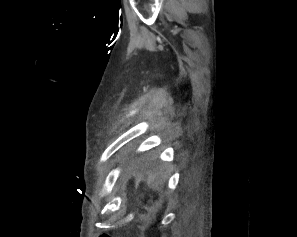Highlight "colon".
I'll return each instance as SVG.
<instances>
[{"instance_id": "1", "label": "colon", "mask_w": 297, "mask_h": 237, "mask_svg": "<svg viewBox=\"0 0 297 237\" xmlns=\"http://www.w3.org/2000/svg\"><path fill=\"white\" fill-rule=\"evenodd\" d=\"M101 237H109L108 235H106V234H104V235H102Z\"/></svg>"}]
</instances>
